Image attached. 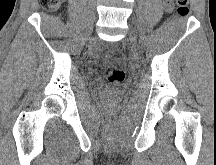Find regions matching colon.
<instances>
[{
	"mask_svg": "<svg viewBox=\"0 0 216 165\" xmlns=\"http://www.w3.org/2000/svg\"><path fill=\"white\" fill-rule=\"evenodd\" d=\"M63 0H41L42 6L49 11L57 10ZM176 10L179 16H186L189 12V0H175ZM104 74L106 79L113 84L122 83L125 79L123 69L118 66L105 64Z\"/></svg>",
	"mask_w": 216,
	"mask_h": 165,
	"instance_id": "colon-1",
	"label": "colon"
}]
</instances>
